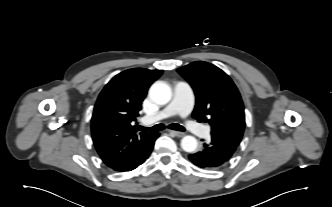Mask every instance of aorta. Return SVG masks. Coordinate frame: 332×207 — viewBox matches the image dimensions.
<instances>
[{"mask_svg":"<svg viewBox=\"0 0 332 207\" xmlns=\"http://www.w3.org/2000/svg\"><path fill=\"white\" fill-rule=\"evenodd\" d=\"M171 88L164 82L157 81L149 89V97L159 105H165L171 100ZM197 140L193 136H185L181 140V148L185 152H194L197 149Z\"/></svg>","mask_w":332,"mask_h":207,"instance_id":"obj_1","label":"aorta"}]
</instances>
